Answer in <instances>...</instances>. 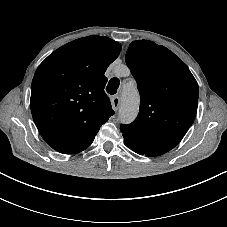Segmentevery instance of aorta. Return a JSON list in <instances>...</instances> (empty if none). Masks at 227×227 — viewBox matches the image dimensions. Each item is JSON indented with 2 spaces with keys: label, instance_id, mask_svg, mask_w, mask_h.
<instances>
[{
  "label": "aorta",
  "instance_id": "obj_1",
  "mask_svg": "<svg viewBox=\"0 0 227 227\" xmlns=\"http://www.w3.org/2000/svg\"><path fill=\"white\" fill-rule=\"evenodd\" d=\"M139 95L136 88H127L123 93V104L119 111L120 120L130 123L134 120L138 112Z\"/></svg>",
  "mask_w": 227,
  "mask_h": 227
}]
</instances>
